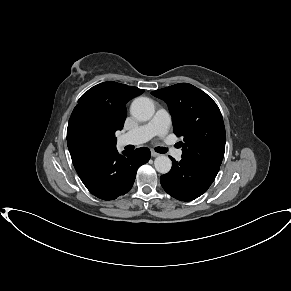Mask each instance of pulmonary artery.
<instances>
[{
	"label": "pulmonary artery",
	"mask_w": 291,
	"mask_h": 291,
	"mask_svg": "<svg viewBox=\"0 0 291 291\" xmlns=\"http://www.w3.org/2000/svg\"><path fill=\"white\" fill-rule=\"evenodd\" d=\"M171 124V117L167 110L160 108L156 111L153 118L146 124L137 127L136 129L122 134L118 138V144L124 145H138L150 140L154 136H164L168 132ZM172 155L176 159H181L182 150L172 149Z\"/></svg>",
	"instance_id": "e3ab8cb5"
}]
</instances>
